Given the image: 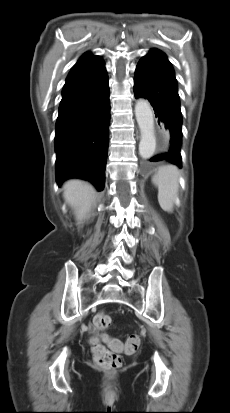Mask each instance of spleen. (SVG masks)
Wrapping results in <instances>:
<instances>
[{
	"instance_id": "obj_1",
	"label": "spleen",
	"mask_w": 230,
	"mask_h": 413,
	"mask_svg": "<svg viewBox=\"0 0 230 413\" xmlns=\"http://www.w3.org/2000/svg\"><path fill=\"white\" fill-rule=\"evenodd\" d=\"M179 170L174 165L159 168L152 182L158 188V202L164 211L172 212L179 188Z\"/></svg>"
}]
</instances>
